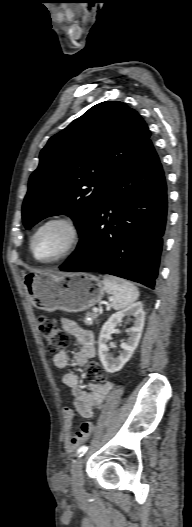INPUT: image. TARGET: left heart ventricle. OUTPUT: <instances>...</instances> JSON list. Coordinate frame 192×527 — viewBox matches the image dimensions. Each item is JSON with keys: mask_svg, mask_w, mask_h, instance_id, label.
Wrapping results in <instances>:
<instances>
[{"mask_svg": "<svg viewBox=\"0 0 192 527\" xmlns=\"http://www.w3.org/2000/svg\"><path fill=\"white\" fill-rule=\"evenodd\" d=\"M70 239L69 228L55 222L43 228L36 237L35 251L39 258L49 259L64 250Z\"/></svg>", "mask_w": 192, "mask_h": 527, "instance_id": "b2bd125f", "label": "left heart ventricle"}]
</instances>
